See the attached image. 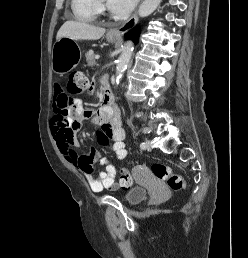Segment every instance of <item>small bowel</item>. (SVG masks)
Instances as JSON below:
<instances>
[{
    "label": "small bowel",
    "mask_w": 248,
    "mask_h": 258,
    "mask_svg": "<svg viewBox=\"0 0 248 258\" xmlns=\"http://www.w3.org/2000/svg\"><path fill=\"white\" fill-rule=\"evenodd\" d=\"M53 112L50 127L56 143L63 156L84 174L91 190L94 192H101L105 189L115 191L120 186L123 187L115 182V166L103 158L95 147H92L87 155L79 156L77 153L80 143L76 134L82 122L92 120L102 128L103 134L112 141L115 157L119 156L116 159L118 161L124 160L127 155L124 144L125 134L118 116L114 113L104 112L102 108L99 110L84 109L82 101L72 99L61 85H56L54 88ZM95 162L105 165V169L100 171L98 175L95 174L92 166Z\"/></svg>",
    "instance_id": "1"
}]
</instances>
